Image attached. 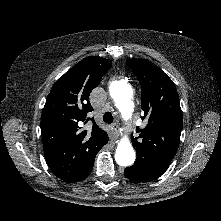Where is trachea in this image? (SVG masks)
I'll return each instance as SVG.
<instances>
[{
  "mask_svg": "<svg viewBox=\"0 0 221 221\" xmlns=\"http://www.w3.org/2000/svg\"><path fill=\"white\" fill-rule=\"evenodd\" d=\"M113 119V115L110 112H106L103 116V121L108 124H111L113 122Z\"/></svg>",
  "mask_w": 221,
  "mask_h": 221,
  "instance_id": "trachea-1",
  "label": "trachea"
}]
</instances>
